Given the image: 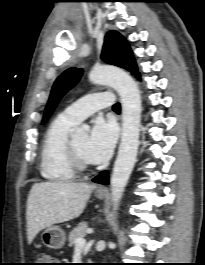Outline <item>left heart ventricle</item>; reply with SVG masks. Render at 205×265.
Returning <instances> with one entry per match:
<instances>
[{
	"label": "left heart ventricle",
	"mask_w": 205,
	"mask_h": 265,
	"mask_svg": "<svg viewBox=\"0 0 205 265\" xmlns=\"http://www.w3.org/2000/svg\"><path fill=\"white\" fill-rule=\"evenodd\" d=\"M74 141V145L76 147V150L78 151V153L80 154V156L86 160V156H85V147L88 141V136L87 135H81V136H77L75 138H73Z\"/></svg>",
	"instance_id": "1"
}]
</instances>
